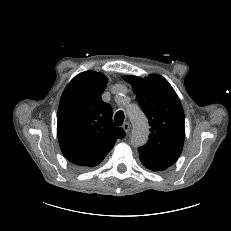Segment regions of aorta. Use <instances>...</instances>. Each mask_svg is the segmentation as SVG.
Listing matches in <instances>:
<instances>
[{
  "label": "aorta",
  "instance_id": "762f6f07",
  "mask_svg": "<svg viewBox=\"0 0 231 231\" xmlns=\"http://www.w3.org/2000/svg\"><path fill=\"white\" fill-rule=\"evenodd\" d=\"M133 130L131 142L134 146H142L146 144L149 136V125L146 116L138 108H134L129 112Z\"/></svg>",
  "mask_w": 231,
  "mask_h": 231
}]
</instances>
